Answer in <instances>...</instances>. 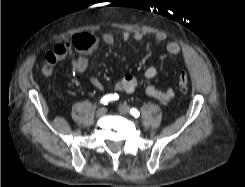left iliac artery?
Returning <instances> with one entry per match:
<instances>
[{
	"label": "left iliac artery",
	"instance_id": "left-iliac-artery-1",
	"mask_svg": "<svg viewBox=\"0 0 245 187\" xmlns=\"http://www.w3.org/2000/svg\"><path fill=\"white\" fill-rule=\"evenodd\" d=\"M130 114L132 115V116H134V117H139V115H140V112L136 109V108H132L131 110H130Z\"/></svg>",
	"mask_w": 245,
	"mask_h": 187
}]
</instances>
